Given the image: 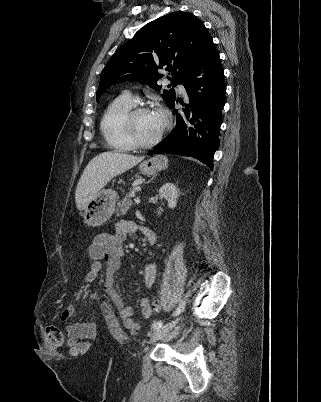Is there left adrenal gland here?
<instances>
[{"label":"left adrenal gland","mask_w":321,"mask_h":402,"mask_svg":"<svg viewBox=\"0 0 321 402\" xmlns=\"http://www.w3.org/2000/svg\"><path fill=\"white\" fill-rule=\"evenodd\" d=\"M155 177H156V175H155V176H153V177L151 178V180H153ZM151 180H150V181H151ZM150 181H149V182H150Z\"/></svg>","instance_id":"left-adrenal-gland-1"}]
</instances>
